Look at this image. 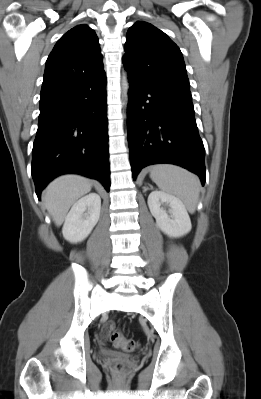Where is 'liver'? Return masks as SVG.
<instances>
[{
    "mask_svg": "<svg viewBox=\"0 0 261 399\" xmlns=\"http://www.w3.org/2000/svg\"><path fill=\"white\" fill-rule=\"evenodd\" d=\"M91 180L79 175H64L52 181L44 191L43 202L60 226L70 207L83 195L90 192Z\"/></svg>",
    "mask_w": 261,
    "mask_h": 399,
    "instance_id": "obj_1",
    "label": "liver"
}]
</instances>
